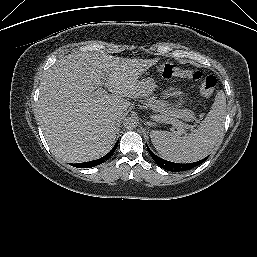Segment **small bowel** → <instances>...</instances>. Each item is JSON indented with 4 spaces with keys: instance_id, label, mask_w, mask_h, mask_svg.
Listing matches in <instances>:
<instances>
[{
    "instance_id": "c3829d8e",
    "label": "small bowel",
    "mask_w": 257,
    "mask_h": 257,
    "mask_svg": "<svg viewBox=\"0 0 257 257\" xmlns=\"http://www.w3.org/2000/svg\"><path fill=\"white\" fill-rule=\"evenodd\" d=\"M170 94L173 95V96H178L180 93L178 91H176V90H172L170 92Z\"/></svg>"
}]
</instances>
